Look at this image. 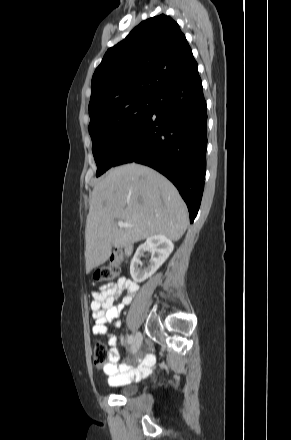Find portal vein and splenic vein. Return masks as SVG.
<instances>
[{"label": "portal vein and splenic vein", "mask_w": 291, "mask_h": 440, "mask_svg": "<svg viewBox=\"0 0 291 440\" xmlns=\"http://www.w3.org/2000/svg\"><path fill=\"white\" fill-rule=\"evenodd\" d=\"M118 226H119L120 228H125V227H132L133 224L125 223V222H123V221H118Z\"/></svg>", "instance_id": "1"}]
</instances>
